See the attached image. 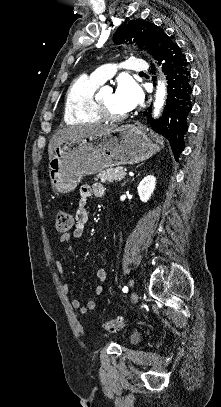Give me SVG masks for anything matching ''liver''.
I'll return each instance as SVG.
<instances>
[{
  "label": "liver",
  "mask_w": 221,
  "mask_h": 407,
  "mask_svg": "<svg viewBox=\"0 0 221 407\" xmlns=\"http://www.w3.org/2000/svg\"><path fill=\"white\" fill-rule=\"evenodd\" d=\"M116 128L114 125H74L59 129L49 142L48 154L51 158L54 150L61 144L70 140H78L86 137H94L100 133Z\"/></svg>",
  "instance_id": "6515ba94"
}]
</instances>
